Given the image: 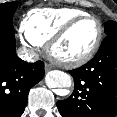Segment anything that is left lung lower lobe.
<instances>
[{
	"label": "left lung lower lobe",
	"instance_id": "obj_1",
	"mask_svg": "<svg viewBox=\"0 0 117 117\" xmlns=\"http://www.w3.org/2000/svg\"><path fill=\"white\" fill-rule=\"evenodd\" d=\"M72 95L57 102L62 117H114L117 114V30L103 40L84 66L69 71Z\"/></svg>",
	"mask_w": 117,
	"mask_h": 117
}]
</instances>
